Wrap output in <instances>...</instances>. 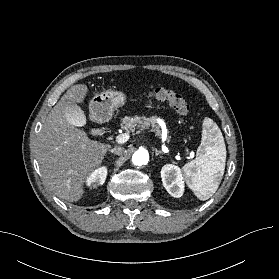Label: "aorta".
I'll use <instances>...</instances> for the list:
<instances>
[{
  "instance_id": "762f6f07",
  "label": "aorta",
  "mask_w": 279,
  "mask_h": 279,
  "mask_svg": "<svg viewBox=\"0 0 279 279\" xmlns=\"http://www.w3.org/2000/svg\"><path fill=\"white\" fill-rule=\"evenodd\" d=\"M148 161L149 154L144 148L138 149L132 156V163L136 166L146 165Z\"/></svg>"
}]
</instances>
